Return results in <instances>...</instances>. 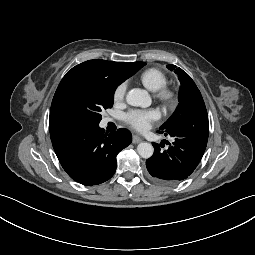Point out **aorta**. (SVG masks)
I'll return each mask as SVG.
<instances>
[{
  "mask_svg": "<svg viewBox=\"0 0 255 255\" xmlns=\"http://www.w3.org/2000/svg\"><path fill=\"white\" fill-rule=\"evenodd\" d=\"M126 101L131 106H137L142 108L149 107L152 102L148 92L139 88L131 89L126 95ZM137 151L142 158L147 159L153 155L154 148L150 143L141 142L137 146Z\"/></svg>",
  "mask_w": 255,
  "mask_h": 255,
  "instance_id": "762f6f07",
  "label": "aorta"
}]
</instances>
